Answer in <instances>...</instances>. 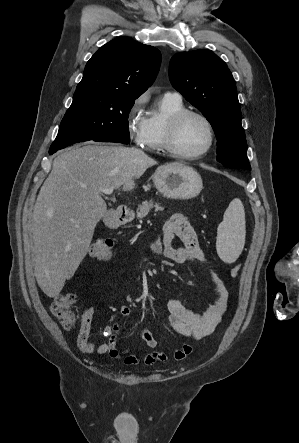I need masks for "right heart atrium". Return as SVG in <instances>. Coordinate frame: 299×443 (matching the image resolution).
Returning <instances> with one entry per match:
<instances>
[{"label": "right heart atrium", "mask_w": 299, "mask_h": 443, "mask_svg": "<svg viewBox=\"0 0 299 443\" xmlns=\"http://www.w3.org/2000/svg\"><path fill=\"white\" fill-rule=\"evenodd\" d=\"M146 96L140 95L135 98L127 109L125 122L130 139L141 145L146 133L147 118L144 115Z\"/></svg>", "instance_id": "right-heart-atrium-1"}]
</instances>
